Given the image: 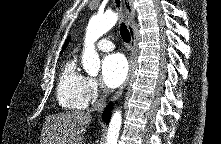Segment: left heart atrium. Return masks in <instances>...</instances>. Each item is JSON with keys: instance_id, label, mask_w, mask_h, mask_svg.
<instances>
[{"instance_id": "left-heart-atrium-1", "label": "left heart atrium", "mask_w": 221, "mask_h": 144, "mask_svg": "<svg viewBox=\"0 0 221 144\" xmlns=\"http://www.w3.org/2000/svg\"><path fill=\"white\" fill-rule=\"evenodd\" d=\"M127 72V61L122 54H110L102 61L103 82L109 88L120 86L124 82Z\"/></svg>"}]
</instances>
